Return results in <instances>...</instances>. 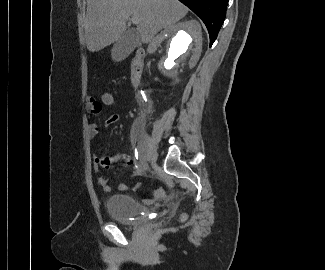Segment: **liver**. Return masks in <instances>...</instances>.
<instances>
[{
  "label": "liver",
  "instance_id": "1",
  "mask_svg": "<svg viewBox=\"0 0 325 270\" xmlns=\"http://www.w3.org/2000/svg\"><path fill=\"white\" fill-rule=\"evenodd\" d=\"M188 12L178 0H87L85 43L90 52L99 51L117 41L126 31V20L137 17L136 31L142 43L154 51L156 34L173 26Z\"/></svg>",
  "mask_w": 325,
  "mask_h": 270
}]
</instances>
